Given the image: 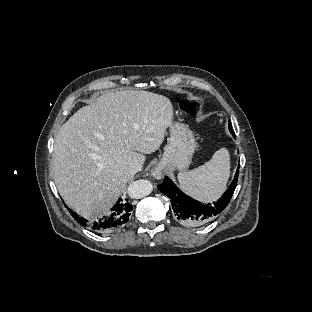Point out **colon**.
I'll list each match as a JSON object with an SVG mask.
<instances>
[{"label": "colon", "instance_id": "obj_1", "mask_svg": "<svg viewBox=\"0 0 312 312\" xmlns=\"http://www.w3.org/2000/svg\"><path fill=\"white\" fill-rule=\"evenodd\" d=\"M178 106L181 110L185 111L186 113H194L197 109V103L191 100L181 99L178 102Z\"/></svg>", "mask_w": 312, "mask_h": 312}]
</instances>
